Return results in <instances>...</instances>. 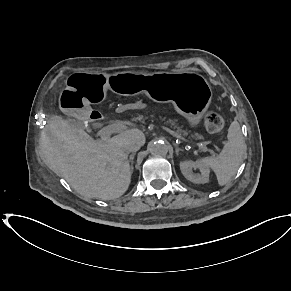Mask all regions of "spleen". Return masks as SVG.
I'll list each match as a JSON object with an SVG mask.
<instances>
[{"mask_svg": "<svg viewBox=\"0 0 291 291\" xmlns=\"http://www.w3.org/2000/svg\"><path fill=\"white\" fill-rule=\"evenodd\" d=\"M227 139L218 156L201 159V163L214 171L220 186L227 184L236 174L245 153V142L237 121L231 123Z\"/></svg>", "mask_w": 291, "mask_h": 291, "instance_id": "1", "label": "spleen"}]
</instances>
